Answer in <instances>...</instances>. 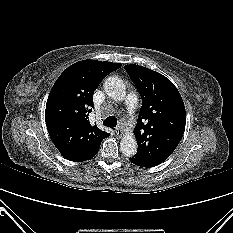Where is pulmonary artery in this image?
<instances>
[{
	"label": "pulmonary artery",
	"mask_w": 233,
	"mask_h": 233,
	"mask_svg": "<svg viewBox=\"0 0 233 233\" xmlns=\"http://www.w3.org/2000/svg\"><path fill=\"white\" fill-rule=\"evenodd\" d=\"M136 102H137V100H136L135 95H133V94L128 95V97L126 99V105H127V108H128V111L130 114H133L134 109L136 107Z\"/></svg>",
	"instance_id": "e3ab8cb5"
}]
</instances>
